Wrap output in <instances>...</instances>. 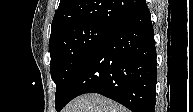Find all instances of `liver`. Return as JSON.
Listing matches in <instances>:
<instances>
[{"label": "liver", "mask_w": 193, "mask_h": 112, "mask_svg": "<svg viewBox=\"0 0 193 112\" xmlns=\"http://www.w3.org/2000/svg\"><path fill=\"white\" fill-rule=\"evenodd\" d=\"M63 112H128V110L106 97L89 93L73 99Z\"/></svg>", "instance_id": "1"}]
</instances>
